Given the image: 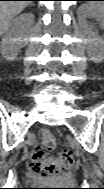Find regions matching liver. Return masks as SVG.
Segmentation results:
<instances>
[{"label":"liver","instance_id":"liver-1","mask_svg":"<svg viewBox=\"0 0 104 189\" xmlns=\"http://www.w3.org/2000/svg\"><path fill=\"white\" fill-rule=\"evenodd\" d=\"M30 1H1L0 2V31L4 34L8 31L11 21L22 12Z\"/></svg>","mask_w":104,"mask_h":189}]
</instances>
